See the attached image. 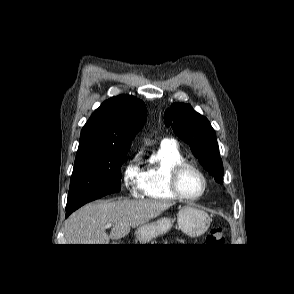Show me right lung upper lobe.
<instances>
[{"label": "right lung upper lobe", "instance_id": "obj_1", "mask_svg": "<svg viewBox=\"0 0 294 294\" xmlns=\"http://www.w3.org/2000/svg\"><path fill=\"white\" fill-rule=\"evenodd\" d=\"M147 110L143 101L120 95L105 101L84 125L78 149H130L132 139L143 126Z\"/></svg>", "mask_w": 294, "mask_h": 294}]
</instances>
